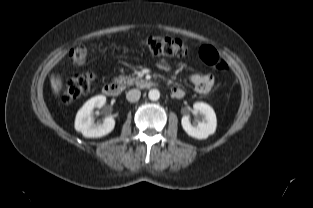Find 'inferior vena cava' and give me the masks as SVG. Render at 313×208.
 Returning a JSON list of instances; mask_svg holds the SVG:
<instances>
[{"label":"inferior vena cava","instance_id":"602c4592","mask_svg":"<svg viewBox=\"0 0 313 208\" xmlns=\"http://www.w3.org/2000/svg\"><path fill=\"white\" fill-rule=\"evenodd\" d=\"M141 92L138 89H132L127 92L126 98L130 102H136L140 99Z\"/></svg>","mask_w":313,"mask_h":208}]
</instances>
